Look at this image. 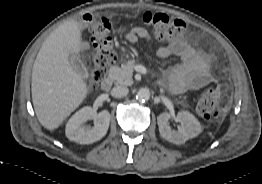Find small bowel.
Returning <instances> with one entry per match:
<instances>
[{"label":"small bowel","instance_id":"1","mask_svg":"<svg viewBox=\"0 0 262 184\" xmlns=\"http://www.w3.org/2000/svg\"><path fill=\"white\" fill-rule=\"evenodd\" d=\"M124 39L136 43L140 40L152 41V36L147 29L137 26L128 30ZM157 55L160 58L176 55L181 60V63L168 74L169 86L174 94L202 89L215 81L211 72L212 58L197 51L186 41H174L161 46L157 50Z\"/></svg>","mask_w":262,"mask_h":184}]
</instances>
